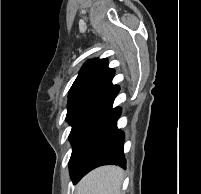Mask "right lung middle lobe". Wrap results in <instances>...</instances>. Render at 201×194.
<instances>
[{"label":"right lung middle lobe","mask_w":201,"mask_h":194,"mask_svg":"<svg viewBox=\"0 0 201 194\" xmlns=\"http://www.w3.org/2000/svg\"><path fill=\"white\" fill-rule=\"evenodd\" d=\"M87 104L88 102H77L73 104H68L66 120L72 124Z\"/></svg>","instance_id":"dd1d6c3e"}]
</instances>
